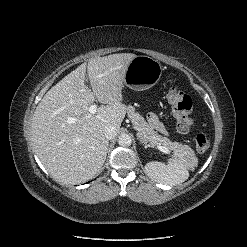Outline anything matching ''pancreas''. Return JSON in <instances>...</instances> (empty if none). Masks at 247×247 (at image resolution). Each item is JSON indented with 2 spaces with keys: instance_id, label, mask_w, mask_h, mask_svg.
I'll return each mask as SVG.
<instances>
[{
  "instance_id": "pancreas-1",
  "label": "pancreas",
  "mask_w": 247,
  "mask_h": 247,
  "mask_svg": "<svg viewBox=\"0 0 247 247\" xmlns=\"http://www.w3.org/2000/svg\"><path fill=\"white\" fill-rule=\"evenodd\" d=\"M127 111L128 117L136 127L138 131V138L142 143H149L153 146H164L173 151L174 157H180L188 160L195 157L194 151L188 145L172 142L168 138L163 137L154 131L153 128L145 121V119L139 113L135 112L133 106H129Z\"/></svg>"
}]
</instances>
